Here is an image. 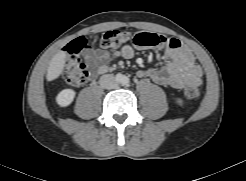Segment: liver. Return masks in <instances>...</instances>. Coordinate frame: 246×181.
I'll use <instances>...</instances> for the list:
<instances>
[{
    "label": "liver",
    "mask_w": 246,
    "mask_h": 181,
    "mask_svg": "<svg viewBox=\"0 0 246 181\" xmlns=\"http://www.w3.org/2000/svg\"><path fill=\"white\" fill-rule=\"evenodd\" d=\"M66 61V55L63 51H59L53 56L47 69V81L57 79L63 72Z\"/></svg>",
    "instance_id": "6515ba94"
}]
</instances>
